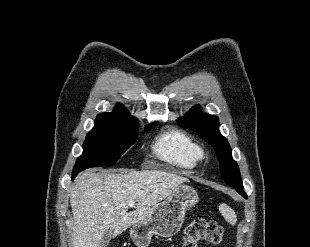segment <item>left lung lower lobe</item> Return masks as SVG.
I'll list each match as a JSON object with an SVG mask.
<instances>
[{
    "mask_svg": "<svg viewBox=\"0 0 310 247\" xmlns=\"http://www.w3.org/2000/svg\"><path fill=\"white\" fill-rule=\"evenodd\" d=\"M234 188H236V191H237L240 195H242L244 198L247 199V195H246L245 192H244L243 185H242V186H236V187H234Z\"/></svg>",
    "mask_w": 310,
    "mask_h": 247,
    "instance_id": "1",
    "label": "left lung lower lobe"
}]
</instances>
